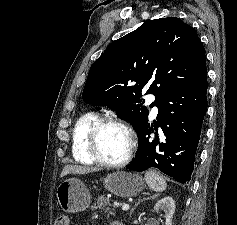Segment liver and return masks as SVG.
<instances>
[{"instance_id":"obj_1","label":"liver","mask_w":237,"mask_h":225,"mask_svg":"<svg viewBox=\"0 0 237 225\" xmlns=\"http://www.w3.org/2000/svg\"><path fill=\"white\" fill-rule=\"evenodd\" d=\"M99 168L94 167H85V166H78V165H67L63 168L60 177H64L68 174H87L91 172L99 171Z\"/></svg>"}]
</instances>
